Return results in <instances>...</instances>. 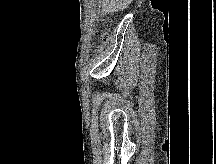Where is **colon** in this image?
<instances>
[{
    "mask_svg": "<svg viewBox=\"0 0 216 164\" xmlns=\"http://www.w3.org/2000/svg\"><path fill=\"white\" fill-rule=\"evenodd\" d=\"M109 34L108 33H105L104 34V40H106L108 38Z\"/></svg>",
    "mask_w": 216,
    "mask_h": 164,
    "instance_id": "obj_1",
    "label": "colon"
}]
</instances>
